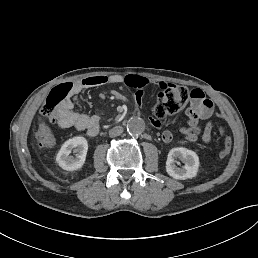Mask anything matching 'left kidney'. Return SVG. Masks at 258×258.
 I'll use <instances>...</instances> for the list:
<instances>
[{"label": "left kidney", "mask_w": 258, "mask_h": 258, "mask_svg": "<svg viewBox=\"0 0 258 258\" xmlns=\"http://www.w3.org/2000/svg\"><path fill=\"white\" fill-rule=\"evenodd\" d=\"M175 158H179L184 166L177 167L174 164ZM199 168V158L197 154L184 147L172 148L167 157L166 171L174 179L185 180L197 175Z\"/></svg>", "instance_id": "5707ae66"}]
</instances>
